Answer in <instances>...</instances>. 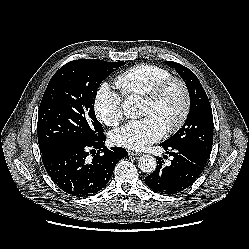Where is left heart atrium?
<instances>
[{
  "instance_id": "left-heart-atrium-1",
  "label": "left heart atrium",
  "mask_w": 249,
  "mask_h": 249,
  "mask_svg": "<svg viewBox=\"0 0 249 249\" xmlns=\"http://www.w3.org/2000/svg\"><path fill=\"white\" fill-rule=\"evenodd\" d=\"M165 132L162 123L149 115L132 120L113 131L111 140L114 144L133 150H143L149 144L159 140Z\"/></svg>"
}]
</instances>
